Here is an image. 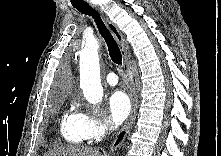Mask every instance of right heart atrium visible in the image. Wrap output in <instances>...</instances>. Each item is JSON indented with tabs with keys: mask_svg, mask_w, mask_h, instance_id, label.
<instances>
[{
	"mask_svg": "<svg viewBox=\"0 0 221 156\" xmlns=\"http://www.w3.org/2000/svg\"><path fill=\"white\" fill-rule=\"evenodd\" d=\"M82 135L86 141L96 142L102 139L110 130L109 120L90 111L82 110L78 114Z\"/></svg>",
	"mask_w": 221,
	"mask_h": 156,
	"instance_id": "d8ad5b80",
	"label": "right heart atrium"
}]
</instances>
